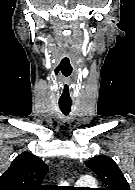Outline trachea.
<instances>
[{
  "label": "trachea",
  "mask_w": 135,
  "mask_h": 190,
  "mask_svg": "<svg viewBox=\"0 0 135 190\" xmlns=\"http://www.w3.org/2000/svg\"><path fill=\"white\" fill-rule=\"evenodd\" d=\"M59 107L64 115H68L71 111V103H59Z\"/></svg>",
  "instance_id": "trachea-1"
}]
</instances>
